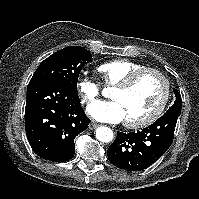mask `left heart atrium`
Returning <instances> with one entry per match:
<instances>
[{
  "instance_id": "left-heart-atrium-1",
  "label": "left heart atrium",
  "mask_w": 199,
  "mask_h": 199,
  "mask_svg": "<svg viewBox=\"0 0 199 199\" xmlns=\"http://www.w3.org/2000/svg\"><path fill=\"white\" fill-rule=\"evenodd\" d=\"M89 115L97 121L118 123L125 120L122 105L116 101H97L88 107Z\"/></svg>"
}]
</instances>
